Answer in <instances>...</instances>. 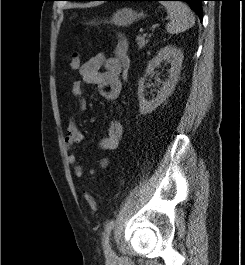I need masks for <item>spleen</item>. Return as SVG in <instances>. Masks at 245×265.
<instances>
[{"label":"spleen","instance_id":"3e777b00","mask_svg":"<svg viewBox=\"0 0 245 265\" xmlns=\"http://www.w3.org/2000/svg\"><path fill=\"white\" fill-rule=\"evenodd\" d=\"M161 4L166 8L170 16V22L166 25L168 33H181L194 25V14L185 3L179 1H163Z\"/></svg>","mask_w":245,"mask_h":265}]
</instances>
